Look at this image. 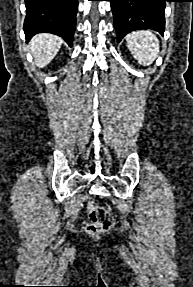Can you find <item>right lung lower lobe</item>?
Here are the masks:
<instances>
[{
    "mask_svg": "<svg viewBox=\"0 0 193 287\" xmlns=\"http://www.w3.org/2000/svg\"><path fill=\"white\" fill-rule=\"evenodd\" d=\"M25 4L27 40L37 33L47 32L61 36L72 46L78 0H25Z\"/></svg>",
    "mask_w": 193,
    "mask_h": 287,
    "instance_id": "obj_1",
    "label": "right lung lower lobe"
}]
</instances>
